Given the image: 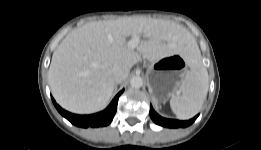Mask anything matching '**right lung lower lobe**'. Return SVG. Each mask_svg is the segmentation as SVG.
I'll list each match as a JSON object with an SVG mask.
<instances>
[{
	"label": "right lung lower lobe",
	"mask_w": 261,
	"mask_h": 150,
	"mask_svg": "<svg viewBox=\"0 0 261 150\" xmlns=\"http://www.w3.org/2000/svg\"><path fill=\"white\" fill-rule=\"evenodd\" d=\"M123 90L117 94L113 99L110 105L102 112L92 114V115H75L63 110L59 105L56 104L55 100L52 98V101L57 108V110L72 124L87 128V127H100L110 124L112 121L116 110L119 96L122 94Z\"/></svg>",
	"instance_id": "1"
}]
</instances>
